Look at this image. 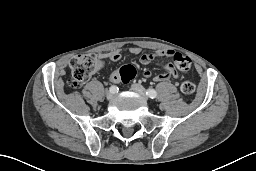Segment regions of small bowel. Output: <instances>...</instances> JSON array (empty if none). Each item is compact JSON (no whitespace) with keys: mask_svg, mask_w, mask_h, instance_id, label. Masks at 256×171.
<instances>
[{"mask_svg":"<svg viewBox=\"0 0 256 171\" xmlns=\"http://www.w3.org/2000/svg\"><path fill=\"white\" fill-rule=\"evenodd\" d=\"M127 53L135 56H139V61L143 65H147L151 63L152 61L158 59V65L162 66L167 73L166 74H158L154 76V80L156 82H164L169 79H177L178 74L176 71V64L174 62V57L178 55L179 53L169 50V49H161L157 50L154 52H149V53H141V49L138 47H130L126 50H121V49H115L110 52L106 53H100L98 56L103 60V59H109L113 62L119 61L122 56ZM166 60V61H163ZM144 77L149 78L151 76V72L148 70H145L143 73ZM112 82H119V78L117 76V71H114L111 74L110 77Z\"/></svg>","mask_w":256,"mask_h":171,"instance_id":"small-bowel-1","label":"small bowel"}]
</instances>
